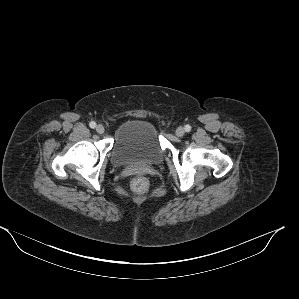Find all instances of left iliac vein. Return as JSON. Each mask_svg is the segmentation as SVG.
<instances>
[{
    "instance_id": "4c4485c4",
    "label": "left iliac vein",
    "mask_w": 299,
    "mask_h": 299,
    "mask_svg": "<svg viewBox=\"0 0 299 299\" xmlns=\"http://www.w3.org/2000/svg\"><path fill=\"white\" fill-rule=\"evenodd\" d=\"M184 133H185V130H184L183 127H178V128L176 129V135H177L178 137H182V136L184 135Z\"/></svg>"
}]
</instances>
